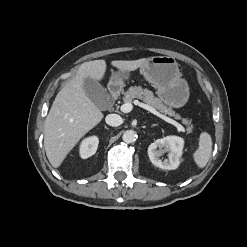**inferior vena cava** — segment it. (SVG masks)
Listing matches in <instances>:
<instances>
[{"mask_svg":"<svg viewBox=\"0 0 247 247\" xmlns=\"http://www.w3.org/2000/svg\"><path fill=\"white\" fill-rule=\"evenodd\" d=\"M105 121L112 127H117L123 123L122 118L117 114H109L106 116Z\"/></svg>","mask_w":247,"mask_h":247,"instance_id":"obj_1","label":"inferior vena cava"}]
</instances>
